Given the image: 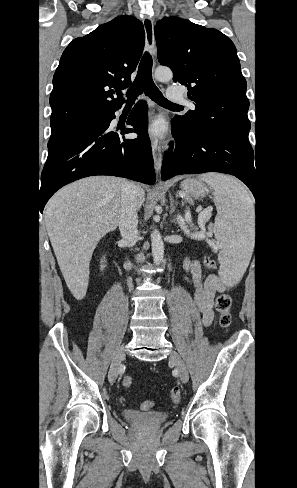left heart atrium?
I'll return each instance as SVG.
<instances>
[{
	"instance_id": "1",
	"label": "left heart atrium",
	"mask_w": 297,
	"mask_h": 488,
	"mask_svg": "<svg viewBox=\"0 0 297 488\" xmlns=\"http://www.w3.org/2000/svg\"><path fill=\"white\" fill-rule=\"evenodd\" d=\"M148 134L155 139H162L166 134V126L160 119L154 120L147 129Z\"/></svg>"
}]
</instances>
